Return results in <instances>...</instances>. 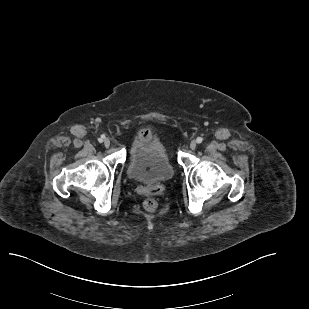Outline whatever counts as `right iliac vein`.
Returning a JSON list of instances; mask_svg holds the SVG:
<instances>
[{
    "label": "right iliac vein",
    "mask_w": 309,
    "mask_h": 309,
    "mask_svg": "<svg viewBox=\"0 0 309 309\" xmlns=\"http://www.w3.org/2000/svg\"><path fill=\"white\" fill-rule=\"evenodd\" d=\"M103 143H104V146H105V147H109V146H110V140H109L108 138H105V139L103 140Z\"/></svg>",
    "instance_id": "1"
}]
</instances>
